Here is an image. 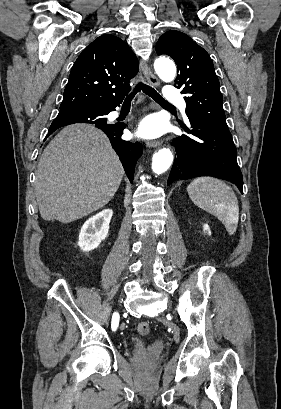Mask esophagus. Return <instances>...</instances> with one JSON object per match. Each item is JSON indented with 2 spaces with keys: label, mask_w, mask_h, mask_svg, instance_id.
<instances>
[{
  "label": "esophagus",
  "mask_w": 281,
  "mask_h": 409,
  "mask_svg": "<svg viewBox=\"0 0 281 409\" xmlns=\"http://www.w3.org/2000/svg\"><path fill=\"white\" fill-rule=\"evenodd\" d=\"M140 66H141L142 72H143L146 80L151 85H154V86L158 87L160 85V82H159L158 78L152 73L150 67L144 62H141ZM161 144L162 143L160 141H153V142H148L147 146L148 147H158Z\"/></svg>",
  "instance_id": "1"
}]
</instances>
